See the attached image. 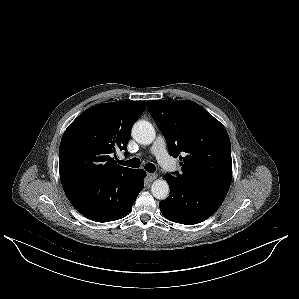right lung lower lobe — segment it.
Returning a JSON list of instances; mask_svg holds the SVG:
<instances>
[{"instance_id": "obj_1", "label": "right lung lower lobe", "mask_w": 299, "mask_h": 299, "mask_svg": "<svg viewBox=\"0 0 299 299\" xmlns=\"http://www.w3.org/2000/svg\"><path fill=\"white\" fill-rule=\"evenodd\" d=\"M145 172L130 175H105L92 180L62 182L71 204L85 217L109 222L125 217L143 189Z\"/></svg>"}]
</instances>
